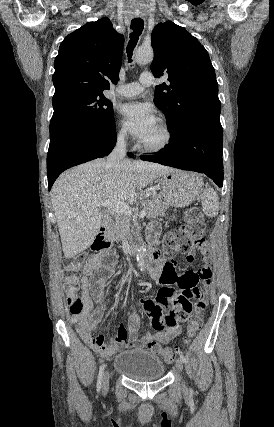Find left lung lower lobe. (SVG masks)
Listing matches in <instances>:
<instances>
[{
    "instance_id": "obj_1",
    "label": "left lung lower lobe",
    "mask_w": 274,
    "mask_h": 427,
    "mask_svg": "<svg viewBox=\"0 0 274 427\" xmlns=\"http://www.w3.org/2000/svg\"><path fill=\"white\" fill-rule=\"evenodd\" d=\"M222 145L221 123L202 120L190 125L178 138H171L170 143L157 155H144L141 159L205 173L222 187Z\"/></svg>"
}]
</instances>
